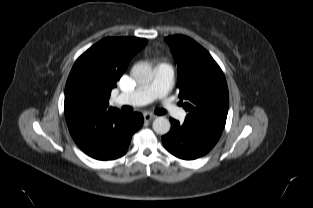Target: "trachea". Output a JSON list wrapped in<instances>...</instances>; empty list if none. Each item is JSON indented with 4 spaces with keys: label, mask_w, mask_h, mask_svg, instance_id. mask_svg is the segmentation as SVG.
Here are the masks:
<instances>
[{
    "label": "trachea",
    "mask_w": 313,
    "mask_h": 208,
    "mask_svg": "<svg viewBox=\"0 0 313 208\" xmlns=\"http://www.w3.org/2000/svg\"><path fill=\"white\" fill-rule=\"evenodd\" d=\"M155 113L158 115H164V114H166V111L164 109H156Z\"/></svg>",
    "instance_id": "3493384b"
}]
</instances>
